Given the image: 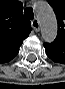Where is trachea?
<instances>
[{
  "instance_id": "trachea-1",
  "label": "trachea",
  "mask_w": 65,
  "mask_h": 89,
  "mask_svg": "<svg viewBox=\"0 0 65 89\" xmlns=\"http://www.w3.org/2000/svg\"><path fill=\"white\" fill-rule=\"evenodd\" d=\"M24 15L27 19L33 20L34 18L33 9L31 7L26 8L24 11Z\"/></svg>"
}]
</instances>
